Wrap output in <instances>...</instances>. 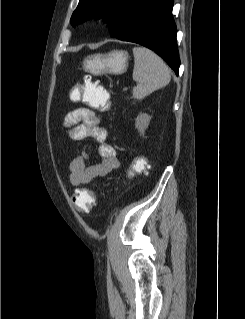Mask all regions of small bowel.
Returning <instances> with one entry per match:
<instances>
[{
    "label": "small bowel",
    "instance_id": "small-bowel-1",
    "mask_svg": "<svg viewBox=\"0 0 245 319\" xmlns=\"http://www.w3.org/2000/svg\"><path fill=\"white\" fill-rule=\"evenodd\" d=\"M71 100L79 101L77 89L71 93ZM68 136L75 141L88 138L98 144L101 161L89 164L86 151L73 155L69 163L70 182L73 186L90 184L98 177H104L120 166L114 148L106 143L107 130L100 123V116L90 108H76L70 111L64 121Z\"/></svg>",
    "mask_w": 245,
    "mask_h": 319
}]
</instances>
